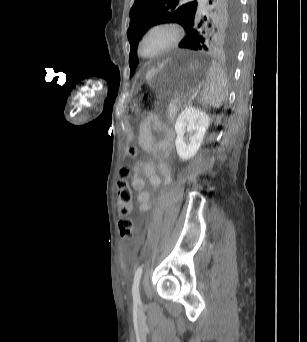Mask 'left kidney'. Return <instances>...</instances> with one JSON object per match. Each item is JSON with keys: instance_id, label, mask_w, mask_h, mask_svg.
I'll use <instances>...</instances> for the list:
<instances>
[{"instance_id": "left-kidney-1", "label": "left kidney", "mask_w": 307, "mask_h": 342, "mask_svg": "<svg viewBox=\"0 0 307 342\" xmlns=\"http://www.w3.org/2000/svg\"><path fill=\"white\" fill-rule=\"evenodd\" d=\"M209 122L210 118L206 112L196 110L192 106H187L179 114L175 124V132L177 134L175 146L180 160L185 162V160L194 158L203 142ZM186 132L191 134L188 142H185L184 138Z\"/></svg>"}]
</instances>
